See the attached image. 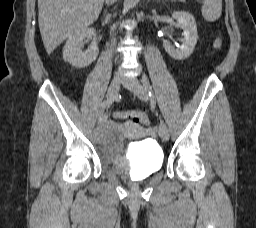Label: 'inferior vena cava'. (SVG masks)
<instances>
[{"label": "inferior vena cava", "mask_w": 256, "mask_h": 228, "mask_svg": "<svg viewBox=\"0 0 256 228\" xmlns=\"http://www.w3.org/2000/svg\"><path fill=\"white\" fill-rule=\"evenodd\" d=\"M107 4H112L113 2H115L116 0H105Z\"/></svg>", "instance_id": "602c4592"}]
</instances>
